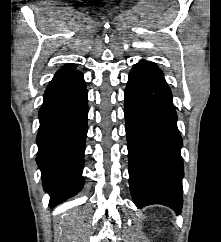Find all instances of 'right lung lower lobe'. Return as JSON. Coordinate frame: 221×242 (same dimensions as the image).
I'll return each mask as SVG.
<instances>
[{"label":"right lung lower lobe","mask_w":221,"mask_h":242,"mask_svg":"<svg viewBox=\"0 0 221 242\" xmlns=\"http://www.w3.org/2000/svg\"><path fill=\"white\" fill-rule=\"evenodd\" d=\"M87 89L80 71L53 79L39 110L37 164L54 207L80 191L84 180Z\"/></svg>","instance_id":"1"}]
</instances>
